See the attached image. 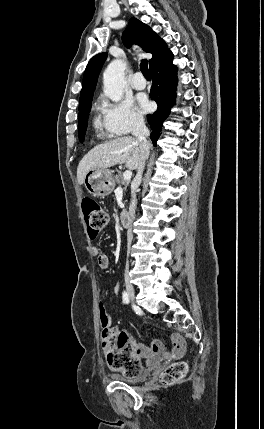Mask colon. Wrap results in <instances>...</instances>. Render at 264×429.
I'll return each instance as SVG.
<instances>
[{
	"label": "colon",
	"instance_id": "5ec220e1",
	"mask_svg": "<svg viewBox=\"0 0 264 429\" xmlns=\"http://www.w3.org/2000/svg\"><path fill=\"white\" fill-rule=\"evenodd\" d=\"M82 211L90 236L95 237L104 229L109 220L108 212L93 198L82 199ZM99 317L102 326V346L107 366L125 376H135L141 372L139 360L134 356L133 349L126 333L109 326V318L104 306L99 305ZM187 373V365L176 362L165 368L159 381L171 385L181 380Z\"/></svg>",
	"mask_w": 264,
	"mask_h": 429
}]
</instances>
